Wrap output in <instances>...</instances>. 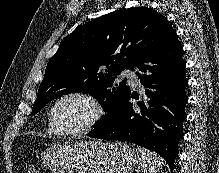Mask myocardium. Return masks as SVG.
Here are the masks:
<instances>
[{
	"label": "myocardium",
	"mask_w": 219,
	"mask_h": 173,
	"mask_svg": "<svg viewBox=\"0 0 219 173\" xmlns=\"http://www.w3.org/2000/svg\"><path fill=\"white\" fill-rule=\"evenodd\" d=\"M70 98H76L85 102L90 108V115L80 127L71 131H62L57 127V124L54 120V112L56 107L62 101ZM104 115L105 108L97 97L86 91L75 90L66 92L53 101L48 113V122L51 130L55 135L60 137H76L94 129L103 119Z\"/></svg>",
	"instance_id": "obj_1"
}]
</instances>
